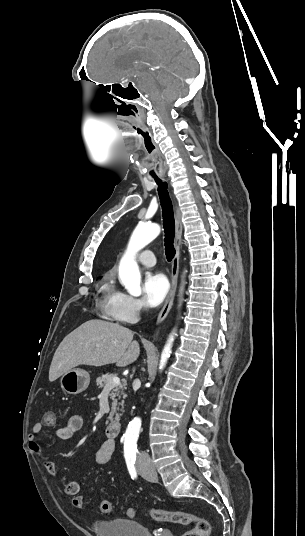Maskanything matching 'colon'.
Returning a JSON list of instances; mask_svg holds the SVG:
<instances>
[{"label":"colon","mask_w":305,"mask_h":536,"mask_svg":"<svg viewBox=\"0 0 305 536\" xmlns=\"http://www.w3.org/2000/svg\"><path fill=\"white\" fill-rule=\"evenodd\" d=\"M54 420V412L49 411L46 414L45 422L51 424ZM86 498L85 493L80 492L76 495H74L70 503L73 506L74 509H76L80 513H84L83 506L84 500ZM100 510L103 513L110 514L113 512V503L109 499H103L100 502ZM147 513L149 516L157 521H165L169 523L174 524H193L194 526L190 531L185 533L184 536H211V525L210 523L193 513H187V512H168L160 509H156L154 507H147L146 508ZM127 515L129 517H133L135 515V509L130 508L127 510Z\"/></svg>","instance_id":"colon-1"}]
</instances>
